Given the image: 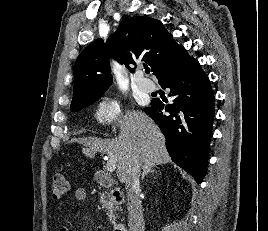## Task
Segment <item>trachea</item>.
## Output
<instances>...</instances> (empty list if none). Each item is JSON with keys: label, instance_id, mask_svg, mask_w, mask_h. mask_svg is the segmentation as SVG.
Returning <instances> with one entry per match:
<instances>
[{"label": "trachea", "instance_id": "1", "mask_svg": "<svg viewBox=\"0 0 268 231\" xmlns=\"http://www.w3.org/2000/svg\"><path fill=\"white\" fill-rule=\"evenodd\" d=\"M144 68H145V72H146L147 74H149V73H150V68L147 67V66H145Z\"/></svg>", "mask_w": 268, "mask_h": 231}]
</instances>
